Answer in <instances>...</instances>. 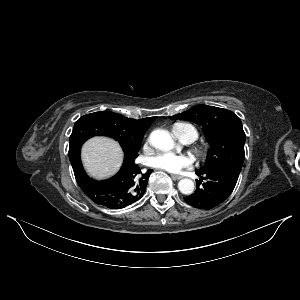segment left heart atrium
<instances>
[{"mask_svg": "<svg viewBox=\"0 0 300 300\" xmlns=\"http://www.w3.org/2000/svg\"><path fill=\"white\" fill-rule=\"evenodd\" d=\"M193 162L192 156L173 152L157 153L148 161L151 167L170 173H179L185 168H190Z\"/></svg>", "mask_w": 300, "mask_h": 300, "instance_id": "39dd6f15", "label": "left heart atrium"}]
</instances>
